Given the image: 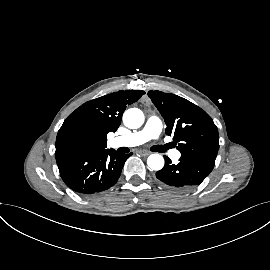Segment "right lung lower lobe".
Instances as JSON below:
<instances>
[{
	"label": "right lung lower lobe",
	"mask_w": 270,
	"mask_h": 270,
	"mask_svg": "<svg viewBox=\"0 0 270 270\" xmlns=\"http://www.w3.org/2000/svg\"><path fill=\"white\" fill-rule=\"evenodd\" d=\"M130 155L112 149H89L58 156L56 161L65 184L79 194L90 195L115 185Z\"/></svg>",
	"instance_id": "98d812e1"
}]
</instances>
